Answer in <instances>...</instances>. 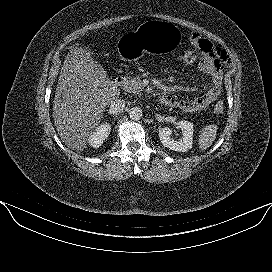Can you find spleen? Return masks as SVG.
I'll use <instances>...</instances> for the list:
<instances>
[{"mask_svg": "<svg viewBox=\"0 0 272 272\" xmlns=\"http://www.w3.org/2000/svg\"><path fill=\"white\" fill-rule=\"evenodd\" d=\"M216 132H217V126L207 125L204 128H202V131L199 135V148L204 151L207 148H209L213 141L216 139Z\"/></svg>", "mask_w": 272, "mask_h": 272, "instance_id": "1", "label": "spleen"}]
</instances>
